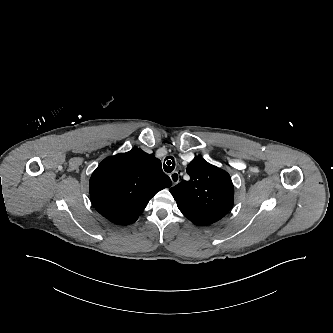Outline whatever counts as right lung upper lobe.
Returning <instances> with one entry per match:
<instances>
[{
    "mask_svg": "<svg viewBox=\"0 0 333 333\" xmlns=\"http://www.w3.org/2000/svg\"><path fill=\"white\" fill-rule=\"evenodd\" d=\"M171 184L159 159L134 148L99 164L90 178V197L102 216L126 225L134 223L149 200Z\"/></svg>",
    "mask_w": 333,
    "mask_h": 333,
    "instance_id": "right-lung-upper-lobe-1",
    "label": "right lung upper lobe"
}]
</instances>
